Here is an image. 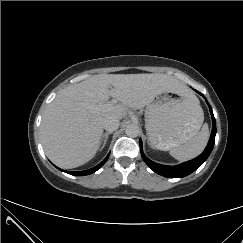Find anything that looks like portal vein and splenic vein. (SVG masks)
Listing matches in <instances>:
<instances>
[{"label":"portal vein and splenic vein","mask_w":243,"mask_h":243,"mask_svg":"<svg viewBox=\"0 0 243 243\" xmlns=\"http://www.w3.org/2000/svg\"><path fill=\"white\" fill-rule=\"evenodd\" d=\"M114 108H115V106L112 103L99 104L96 106V109L98 111H111Z\"/></svg>","instance_id":"portal-vein-and-splenic-vein-1"}]
</instances>
